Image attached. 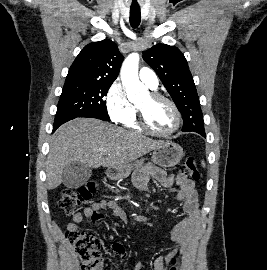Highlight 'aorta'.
I'll use <instances>...</instances> for the list:
<instances>
[{"label": "aorta", "mask_w": 267, "mask_h": 270, "mask_svg": "<svg viewBox=\"0 0 267 270\" xmlns=\"http://www.w3.org/2000/svg\"><path fill=\"white\" fill-rule=\"evenodd\" d=\"M139 54L131 53L123 62L121 80L130 101H136L141 96L148 94L147 87L140 82L138 77Z\"/></svg>", "instance_id": "762f6f07"}]
</instances>
